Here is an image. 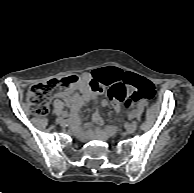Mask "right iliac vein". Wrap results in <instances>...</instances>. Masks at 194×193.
<instances>
[{
    "mask_svg": "<svg viewBox=\"0 0 194 193\" xmlns=\"http://www.w3.org/2000/svg\"><path fill=\"white\" fill-rule=\"evenodd\" d=\"M58 123H59L61 126L65 127V126H67L68 121H67V120H64L63 118H59V119H58Z\"/></svg>",
    "mask_w": 194,
    "mask_h": 193,
    "instance_id": "obj_1",
    "label": "right iliac vein"
}]
</instances>
